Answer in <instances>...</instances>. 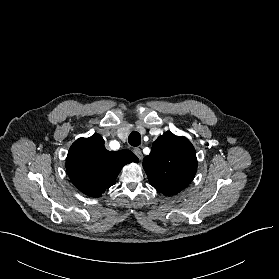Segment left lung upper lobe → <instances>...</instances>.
Returning <instances> with one entry per match:
<instances>
[{
    "instance_id": "5c2ea615",
    "label": "left lung upper lobe",
    "mask_w": 279,
    "mask_h": 279,
    "mask_svg": "<svg viewBox=\"0 0 279 279\" xmlns=\"http://www.w3.org/2000/svg\"><path fill=\"white\" fill-rule=\"evenodd\" d=\"M143 167L157 191L174 195L193 180L196 152L187 138L165 132L153 142L151 153L143 159Z\"/></svg>"
}]
</instances>
